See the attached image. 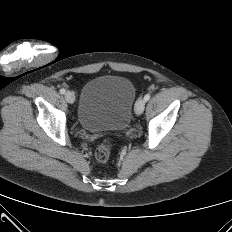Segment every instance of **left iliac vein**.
<instances>
[{
	"label": "left iliac vein",
	"instance_id": "1",
	"mask_svg": "<svg viewBox=\"0 0 232 232\" xmlns=\"http://www.w3.org/2000/svg\"><path fill=\"white\" fill-rule=\"evenodd\" d=\"M144 108H145V100L142 98H139L135 104V108H134L135 113L137 115H141L144 111Z\"/></svg>",
	"mask_w": 232,
	"mask_h": 232
}]
</instances>
